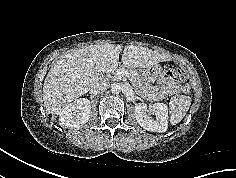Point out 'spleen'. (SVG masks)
<instances>
[{
    "instance_id": "1",
    "label": "spleen",
    "mask_w": 236,
    "mask_h": 178,
    "mask_svg": "<svg viewBox=\"0 0 236 178\" xmlns=\"http://www.w3.org/2000/svg\"><path fill=\"white\" fill-rule=\"evenodd\" d=\"M191 105V98L184 95H175L169 102L170 123L178 124L186 115Z\"/></svg>"
}]
</instances>
